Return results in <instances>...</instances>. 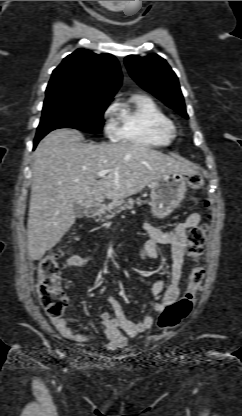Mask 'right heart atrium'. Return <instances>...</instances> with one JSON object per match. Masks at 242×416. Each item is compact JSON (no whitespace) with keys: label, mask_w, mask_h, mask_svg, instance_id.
I'll return each instance as SVG.
<instances>
[{"label":"right heart atrium","mask_w":242,"mask_h":416,"mask_svg":"<svg viewBox=\"0 0 242 416\" xmlns=\"http://www.w3.org/2000/svg\"><path fill=\"white\" fill-rule=\"evenodd\" d=\"M115 105L111 104L109 105L105 111H104V118L106 120L105 123V131L106 133L110 134V135H115L117 127L114 123V119L113 116L115 114Z\"/></svg>","instance_id":"right-heart-atrium-1"}]
</instances>
